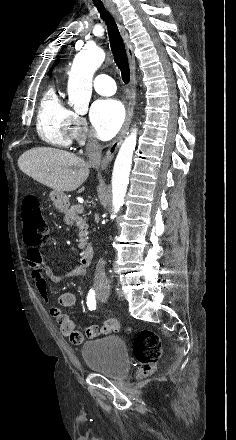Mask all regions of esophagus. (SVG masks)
<instances>
[{
  "label": "esophagus",
  "mask_w": 236,
  "mask_h": 440,
  "mask_svg": "<svg viewBox=\"0 0 236 440\" xmlns=\"http://www.w3.org/2000/svg\"><path fill=\"white\" fill-rule=\"evenodd\" d=\"M106 5H107L108 9L110 10V12L112 13V15L114 16V18L116 19V21L118 23L119 31L122 35L124 42H125L126 50H127V54H128V59H129V64H130L131 75H130L129 103L127 106V115H126L125 123H124L123 128L121 129L118 137L111 144V146L109 147L108 151L106 152L105 156L102 159L101 168L103 170L107 169L108 165L110 164V162L114 158V155L117 152L123 138L125 137V134L129 128V125H130V122H131V119L133 116L134 107H135V103H136V63H135L134 47H133V44L129 38L127 30L120 23V16H119L117 10L115 9L114 5L111 2H107Z\"/></svg>",
  "instance_id": "esophagus-1"
}]
</instances>
